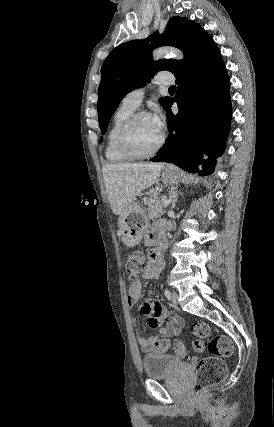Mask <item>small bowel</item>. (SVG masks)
Here are the masks:
<instances>
[{
    "label": "small bowel",
    "instance_id": "small-bowel-1",
    "mask_svg": "<svg viewBox=\"0 0 274 427\" xmlns=\"http://www.w3.org/2000/svg\"><path fill=\"white\" fill-rule=\"evenodd\" d=\"M169 228L168 224L158 222L153 224L147 233L146 244H153L161 238L165 231ZM163 265L161 261L155 263L149 262L147 268L140 278L132 283L127 293V304L129 307L137 305L142 299V281L147 279L156 278ZM145 310L136 313L137 319H144V325L149 327H162L159 332L153 336L146 337L139 334L137 342L143 352H150L154 349L155 343L162 338L178 336L182 332L184 325L183 317L179 315H171L166 311V305L161 304L160 299H147L144 302ZM163 313V315H162ZM163 316V318H162ZM134 327H137L136 320L133 321Z\"/></svg>",
    "mask_w": 274,
    "mask_h": 427
}]
</instances>
